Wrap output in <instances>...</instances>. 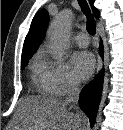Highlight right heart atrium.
Here are the masks:
<instances>
[{
    "mask_svg": "<svg viewBox=\"0 0 123 130\" xmlns=\"http://www.w3.org/2000/svg\"><path fill=\"white\" fill-rule=\"evenodd\" d=\"M44 67L52 95L61 97L78 88V82L65 61L47 57Z\"/></svg>",
    "mask_w": 123,
    "mask_h": 130,
    "instance_id": "obj_1",
    "label": "right heart atrium"
}]
</instances>
